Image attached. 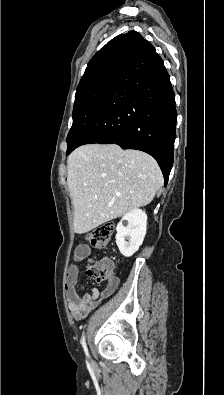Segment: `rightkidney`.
I'll use <instances>...</instances> for the list:
<instances>
[{"label": "right kidney", "mask_w": 224, "mask_h": 395, "mask_svg": "<svg viewBox=\"0 0 224 395\" xmlns=\"http://www.w3.org/2000/svg\"><path fill=\"white\" fill-rule=\"evenodd\" d=\"M128 222L127 226L123 221ZM147 229V215L145 211L134 209L126 213L116 227V244L124 257L132 256L143 243ZM126 238L129 241H126Z\"/></svg>", "instance_id": "obj_1"}]
</instances>
